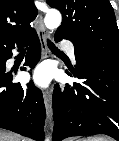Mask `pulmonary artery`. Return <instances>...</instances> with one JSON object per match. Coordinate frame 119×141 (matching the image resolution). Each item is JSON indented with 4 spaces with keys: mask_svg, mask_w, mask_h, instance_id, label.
<instances>
[{
    "mask_svg": "<svg viewBox=\"0 0 119 141\" xmlns=\"http://www.w3.org/2000/svg\"><path fill=\"white\" fill-rule=\"evenodd\" d=\"M62 45L66 47L70 57L74 60L75 59L74 46L69 42H63Z\"/></svg>",
    "mask_w": 119,
    "mask_h": 141,
    "instance_id": "obj_1",
    "label": "pulmonary artery"
}]
</instances>
